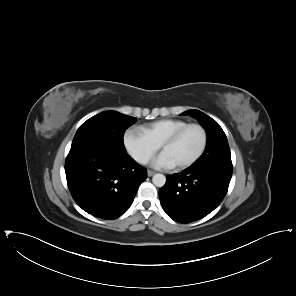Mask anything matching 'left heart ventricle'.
<instances>
[{
    "instance_id": "b2bd125f",
    "label": "left heart ventricle",
    "mask_w": 296,
    "mask_h": 296,
    "mask_svg": "<svg viewBox=\"0 0 296 296\" xmlns=\"http://www.w3.org/2000/svg\"><path fill=\"white\" fill-rule=\"evenodd\" d=\"M202 133L197 128L187 130L173 145L169 146L164 153L175 163H182L191 159L200 149Z\"/></svg>"
}]
</instances>
